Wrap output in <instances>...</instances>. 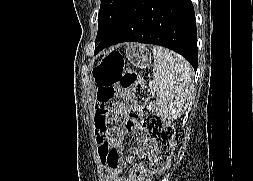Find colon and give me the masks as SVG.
Returning <instances> with one entry per match:
<instances>
[{"label":"colon","mask_w":253,"mask_h":181,"mask_svg":"<svg viewBox=\"0 0 253 181\" xmlns=\"http://www.w3.org/2000/svg\"><path fill=\"white\" fill-rule=\"evenodd\" d=\"M97 91V117L104 116L106 106L119 91H129L133 96L134 107L130 116L139 120L140 127L154 142L157 156L152 161L150 169L154 174L164 172L174 152L173 136L175 130L167 126L164 120L150 108V91L140 80L134 70H125L123 58L118 53L107 55L102 64L94 71Z\"/></svg>","instance_id":"5ec220e1"}]
</instances>
